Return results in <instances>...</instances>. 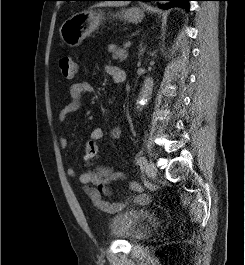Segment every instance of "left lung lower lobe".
Returning <instances> with one entry per match:
<instances>
[{"label":"left lung lower lobe","instance_id":"obj_1","mask_svg":"<svg viewBox=\"0 0 245 265\" xmlns=\"http://www.w3.org/2000/svg\"><path fill=\"white\" fill-rule=\"evenodd\" d=\"M90 1H101V0H90ZM124 1H171L170 4H166L165 6H160L163 9H168L170 7H182L186 10L189 9L188 1L192 0H124Z\"/></svg>","mask_w":245,"mask_h":265}]
</instances>
